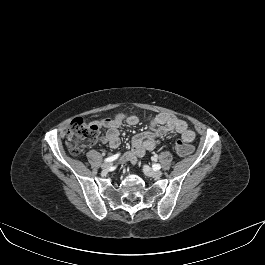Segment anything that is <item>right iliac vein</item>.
Instances as JSON below:
<instances>
[{
  "instance_id": "obj_1",
  "label": "right iliac vein",
  "mask_w": 265,
  "mask_h": 265,
  "mask_svg": "<svg viewBox=\"0 0 265 265\" xmlns=\"http://www.w3.org/2000/svg\"><path fill=\"white\" fill-rule=\"evenodd\" d=\"M102 169L103 170H108L111 167V163L110 162H105L102 164Z\"/></svg>"
}]
</instances>
